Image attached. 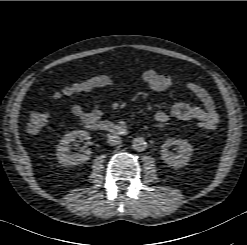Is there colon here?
Listing matches in <instances>:
<instances>
[{"label":"colon","instance_id":"obj_1","mask_svg":"<svg viewBox=\"0 0 247 245\" xmlns=\"http://www.w3.org/2000/svg\"><path fill=\"white\" fill-rule=\"evenodd\" d=\"M112 78L107 73H99L87 78L78 80L69 85L62 87L55 93L56 98L72 96L76 94L86 93L96 89L106 88L110 85ZM47 121V115L45 112H32L30 114L28 130L31 133L39 132ZM197 126L205 131L216 130V125L208 122H198Z\"/></svg>","mask_w":247,"mask_h":245}]
</instances>
